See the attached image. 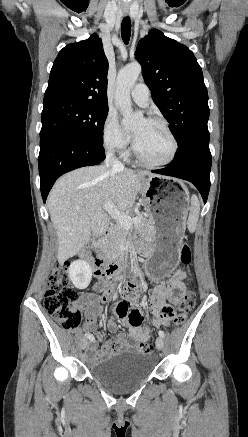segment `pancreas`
<instances>
[{"label":"pancreas","instance_id":"cf45deb5","mask_svg":"<svg viewBox=\"0 0 248 437\" xmlns=\"http://www.w3.org/2000/svg\"><path fill=\"white\" fill-rule=\"evenodd\" d=\"M140 222L138 225H136V229L140 232L141 236H143L146 239L152 238L153 234L150 229L151 224L150 221L144 217L139 216ZM125 236V228H123L120 224H117L113 230L108 234L104 244L103 248L105 250V253L108 257L116 258L118 257L120 253V243L124 240Z\"/></svg>","mask_w":248,"mask_h":437}]
</instances>
